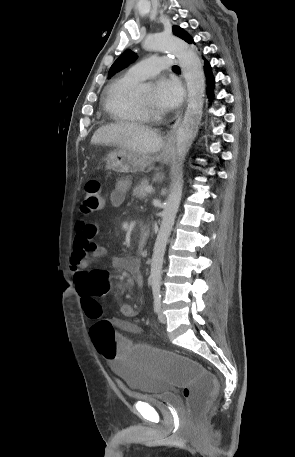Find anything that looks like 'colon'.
Returning <instances> with one entry per match:
<instances>
[{
	"label": "colon",
	"instance_id": "obj_1",
	"mask_svg": "<svg viewBox=\"0 0 295 457\" xmlns=\"http://www.w3.org/2000/svg\"><path fill=\"white\" fill-rule=\"evenodd\" d=\"M104 206L100 182L90 179L85 185L81 212L89 215ZM80 293L86 315L95 320L91 338L96 354L113 363L128 362L129 366H140V372H159L166 383H177V389L183 390L186 417L189 421H196L217 390V374H209L202 363H191V358L182 357L181 351H164V346H135L134 341H127L125 330H114L113 324L102 318V308L98 303L99 297L110 293V274L105 270L88 272Z\"/></svg>",
	"mask_w": 295,
	"mask_h": 457
}]
</instances>
